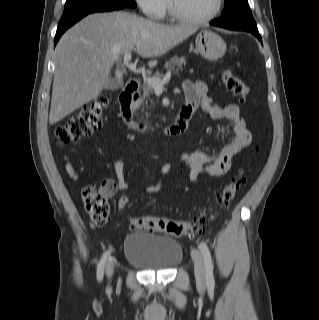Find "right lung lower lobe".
<instances>
[{
    "instance_id": "1",
    "label": "right lung lower lobe",
    "mask_w": 319,
    "mask_h": 320,
    "mask_svg": "<svg viewBox=\"0 0 319 320\" xmlns=\"http://www.w3.org/2000/svg\"><path fill=\"white\" fill-rule=\"evenodd\" d=\"M124 7H127L125 5H112V6H106V7H96L93 8L89 11H86L84 13H81L75 17H73L72 19H70L69 21L63 23V24H59L58 28H57V32L54 38V45L57 44L58 40L60 39L61 35L69 28L71 27L73 24H75L77 21H79L81 18H83L84 16L90 14V13H94V12H105V11H113V10H119L122 9Z\"/></svg>"
}]
</instances>
